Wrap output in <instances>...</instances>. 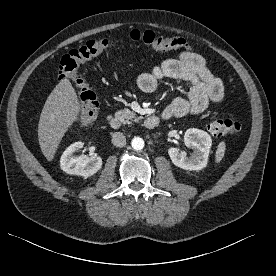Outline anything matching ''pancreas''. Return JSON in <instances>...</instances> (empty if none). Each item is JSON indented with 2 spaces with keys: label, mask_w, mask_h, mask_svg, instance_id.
Here are the masks:
<instances>
[{
  "label": "pancreas",
  "mask_w": 276,
  "mask_h": 276,
  "mask_svg": "<svg viewBox=\"0 0 276 276\" xmlns=\"http://www.w3.org/2000/svg\"><path fill=\"white\" fill-rule=\"evenodd\" d=\"M115 115L124 123H129L130 120L134 122H139L143 118L142 116H136V114L133 111H130L127 108L117 111Z\"/></svg>",
  "instance_id": "pancreas-1"
}]
</instances>
